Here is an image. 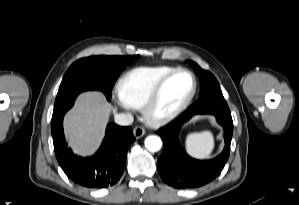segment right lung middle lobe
<instances>
[{
    "label": "right lung middle lobe",
    "mask_w": 299,
    "mask_h": 205,
    "mask_svg": "<svg viewBox=\"0 0 299 205\" xmlns=\"http://www.w3.org/2000/svg\"><path fill=\"white\" fill-rule=\"evenodd\" d=\"M138 58L139 55L93 56L76 61L63 77L53 112L74 101L79 93L87 90H100L109 99L117 75Z\"/></svg>",
    "instance_id": "obj_1"
}]
</instances>
